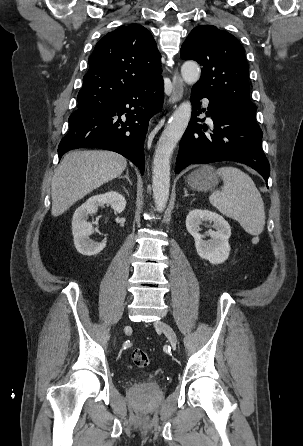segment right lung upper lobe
<instances>
[{"label":"right lung upper lobe","mask_w":303,"mask_h":446,"mask_svg":"<svg viewBox=\"0 0 303 446\" xmlns=\"http://www.w3.org/2000/svg\"><path fill=\"white\" fill-rule=\"evenodd\" d=\"M161 55L151 33L139 24L106 34L89 57L78 99L82 106L162 80Z\"/></svg>","instance_id":"cb5924a9"}]
</instances>
